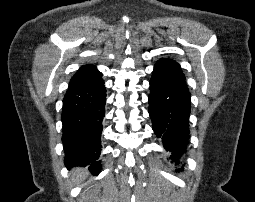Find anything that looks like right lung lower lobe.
Wrapping results in <instances>:
<instances>
[{
  "label": "right lung lower lobe",
  "mask_w": 255,
  "mask_h": 202,
  "mask_svg": "<svg viewBox=\"0 0 255 202\" xmlns=\"http://www.w3.org/2000/svg\"><path fill=\"white\" fill-rule=\"evenodd\" d=\"M105 101L106 92L101 78L70 86L67 90L61 117L66 166H89L93 174L100 172V137Z\"/></svg>",
  "instance_id": "obj_1"
}]
</instances>
